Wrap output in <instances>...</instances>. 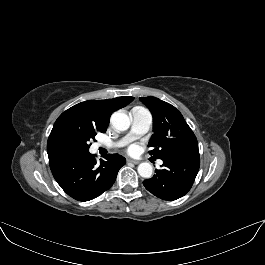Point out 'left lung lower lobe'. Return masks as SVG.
I'll use <instances>...</instances> for the list:
<instances>
[{
  "mask_svg": "<svg viewBox=\"0 0 265 265\" xmlns=\"http://www.w3.org/2000/svg\"><path fill=\"white\" fill-rule=\"evenodd\" d=\"M163 169L144 180L145 188L163 200H176L192 187L200 167L199 152L169 154L161 158Z\"/></svg>",
  "mask_w": 265,
  "mask_h": 265,
  "instance_id": "left-lung-lower-lobe-1",
  "label": "left lung lower lobe"
}]
</instances>
